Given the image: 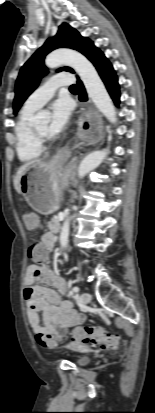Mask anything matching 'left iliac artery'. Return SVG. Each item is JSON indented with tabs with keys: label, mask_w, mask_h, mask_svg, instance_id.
Listing matches in <instances>:
<instances>
[{
	"label": "left iliac artery",
	"mask_w": 155,
	"mask_h": 413,
	"mask_svg": "<svg viewBox=\"0 0 155 413\" xmlns=\"http://www.w3.org/2000/svg\"><path fill=\"white\" fill-rule=\"evenodd\" d=\"M79 287H77V286H75L74 288H73V292L74 293H76V296H78V293H79Z\"/></svg>",
	"instance_id": "obj_1"
}]
</instances>
